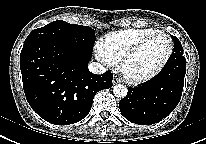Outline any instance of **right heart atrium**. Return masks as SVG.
I'll list each match as a JSON object with an SVG mask.
<instances>
[{
  "label": "right heart atrium",
  "instance_id": "1",
  "mask_svg": "<svg viewBox=\"0 0 206 144\" xmlns=\"http://www.w3.org/2000/svg\"><path fill=\"white\" fill-rule=\"evenodd\" d=\"M95 55L96 57L103 62L105 65L111 66L114 64V62L111 60V58L106 54V52L104 51L102 45L100 42H98L95 45Z\"/></svg>",
  "mask_w": 206,
  "mask_h": 144
}]
</instances>
